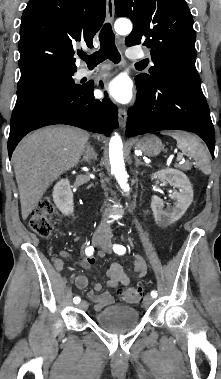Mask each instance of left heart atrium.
Wrapping results in <instances>:
<instances>
[{
    "instance_id": "obj_1",
    "label": "left heart atrium",
    "mask_w": 221,
    "mask_h": 379,
    "mask_svg": "<svg viewBox=\"0 0 221 379\" xmlns=\"http://www.w3.org/2000/svg\"><path fill=\"white\" fill-rule=\"evenodd\" d=\"M106 94L119 103H127L132 97V89L129 81L123 77H117L110 81L105 88Z\"/></svg>"
}]
</instances>
